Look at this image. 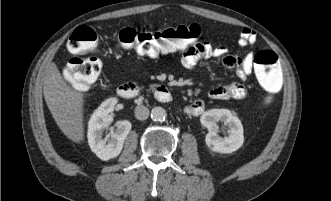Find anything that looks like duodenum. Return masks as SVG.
<instances>
[{"label": "duodenum", "mask_w": 331, "mask_h": 201, "mask_svg": "<svg viewBox=\"0 0 331 201\" xmlns=\"http://www.w3.org/2000/svg\"><path fill=\"white\" fill-rule=\"evenodd\" d=\"M140 92L139 86L134 82H126L121 84L117 88V94L124 99H130L136 97ZM154 97L161 103H170L172 101V95L166 86L160 84L154 89Z\"/></svg>", "instance_id": "duodenum-1"}]
</instances>
